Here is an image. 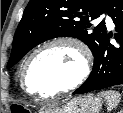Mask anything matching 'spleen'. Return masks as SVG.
<instances>
[{
    "mask_svg": "<svg viewBox=\"0 0 123 113\" xmlns=\"http://www.w3.org/2000/svg\"><path fill=\"white\" fill-rule=\"evenodd\" d=\"M100 96L107 101V110L111 111L114 109L121 100V95L117 91H104L100 93Z\"/></svg>",
    "mask_w": 123,
    "mask_h": 113,
    "instance_id": "obj_1",
    "label": "spleen"
}]
</instances>
